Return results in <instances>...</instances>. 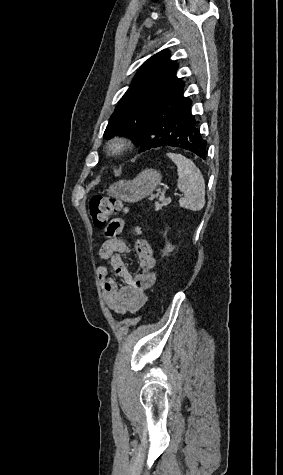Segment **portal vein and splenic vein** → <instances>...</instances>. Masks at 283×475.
<instances>
[{
	"mask_svg": "<svg viewBox=\"0 0 283 475\" xmlns=\"http://www.w3.org/2000/svg\"><path fill=\"white\" fill-rule=\"evenodd\" d=\"M173 193H174V197H175L176 199H179V198L181 197V194H180L179 190L176 189V190H174Z\"/></svg>",
	"mask_w": 283,
	"mask_h": 475,
	"instance_id": "18ae733b",
	"label": "portal vein and splenic vein"
}]
</instances>
